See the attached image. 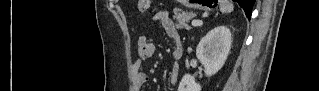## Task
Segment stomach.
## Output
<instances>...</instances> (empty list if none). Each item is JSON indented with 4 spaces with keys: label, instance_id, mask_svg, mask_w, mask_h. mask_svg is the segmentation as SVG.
I'll return each mask as SVG.
<instances>
[{
    "label": "stomach",
    "instance_id": "obj_1",
    "mask_svg": "<svg viewBox=\"0 0 319 91\" xmlns=\"http://www.w3.org/2000/svg\"><path fill=\"white\" fill-rule=\"evenodd\" d=\"M215 2L217 1H213V0L189 1L186 3V6L190 8L210 10L211 8L215 7L216 5Z\"/></svg>",
    "mask_w": 319,
    "mask_h": 91
}]
</instances>
